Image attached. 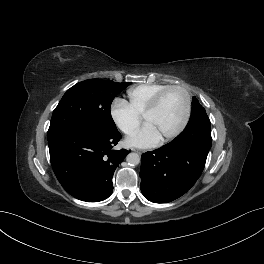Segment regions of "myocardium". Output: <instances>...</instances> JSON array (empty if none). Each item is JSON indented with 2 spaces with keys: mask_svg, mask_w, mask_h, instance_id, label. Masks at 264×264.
<instances>
[{
  "mask_svg": "<svg viewBox=\"0 0 264 264\" xmlns=\"http://www.w3.org/2000/svg\"><path fill=\"white\" fill-rule=\"evenodd\" d=\"M172 90H179L183 93L184 98H185L184 113H183V117H182V120L179 126L170 134H167L166 136L162 137L163 142L171 141L177 136H179L184 131V129L186 128L188 124L189 117H190V111H191V97L187 89L180 85H170L164 88L163 90H161L155 95V97L152 99V101L149 103V105L146 107V109L144 110L142 114V117L145 120L149 114H151L158 108L164 96L169 91H172Z\"/></svg>",
  "mask_w": 264,
  "mask_h": 264,
  "instance_id": "f54148a6",
  "label": "myocardium"
}]
</instances>
